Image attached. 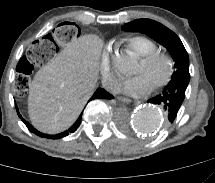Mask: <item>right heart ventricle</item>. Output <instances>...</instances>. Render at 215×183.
Instances as JSON below:
<instances>
[{
  "label": "right heart ventricle",
  "mask_w": 215,
  "mask_h": 183,
  "mask_svg": "<svg viewBox=\"0 0 215 183\" xmlns=\"http://www.w3.org/2000/svg\"><path fill=\"white\" fill-rule=\"evenodd\" d=\"M126 46L135 54L142 56L157 49V44L144 35H134L126 40Z\"/></svg>",
  "instance_id": "1"
}]
</instances>
